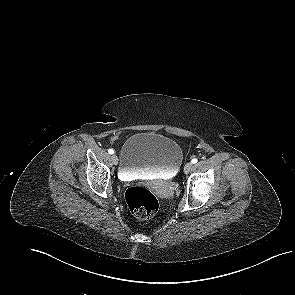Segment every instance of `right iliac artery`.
Masks as SVG:
<instances>
[{
    "label": "right iliac artery",
    "mask_w": 295,
    "mask_h": 295,
    "mask_svg": "<svg viewBox=\"0 0 295 295\" xmlns=\"http://www.w3.org/2000/svg\"><path fill=\"white\" fill-rule=\"evenodd\" d=\"M108 153H109V154H114V150H113V149H109V150H108Z\"/></svg>",
    "instance_id": "obj_1"
}]
</instances>
